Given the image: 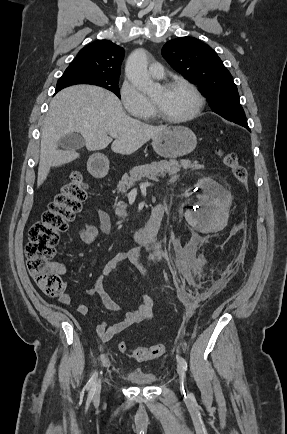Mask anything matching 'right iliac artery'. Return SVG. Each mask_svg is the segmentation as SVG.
I'll use <instances>...</instances> for the list:
<instances>
[{
  "instance_id": "82829eb1",
  "label": "right iliac artery",
  "mask_w": 287,
  "mask_h": 434,
  "mask_svg": "<svg viewBox=\"0 0 287 434\" xmlns=\"http://www.w3.org/2000/svg\"><path fill=\"white\" fill-rule=\"evenodd\" d=\"M97 372L95 371L92 375V377L90 378V380L88 381L86 387L89 390L90 389V393L89 396L93 397L94 395V391H95V386H96V378H97Z\"/></svg>"
}]
</instances>
